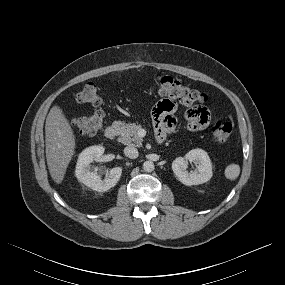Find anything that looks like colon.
Returning <instances> with one entry per match:
<instances>
[{
    "instance_id": "colon-1",
    "label": "colon",
    "mask_w": 285,
    "mask_h": 285,
    "mask_svg": "<svg viewBox=\"0 0 285 285\" xmlns=\"http://www.w3.org/2000/svg\"><path fill=\"white\" fill-rule=\"evenodd\" d=\"M156 87L163 97L165 95H172L182 104L192 105L203 103L207 99L205 93L170 76L157 77ZM76 100L79 103L93 106L95 110L88 116L72 119L71 125L73 129L82 135L95 134L101 129L104 121V112L101 107L102 99L97 92L96 86L93 83L85 84L81 91L77 93ZM211 132L216 142L223 143L230 138L233 132V125L226 121H216L212 126Z\"/></svg>"
}]
</instances>
